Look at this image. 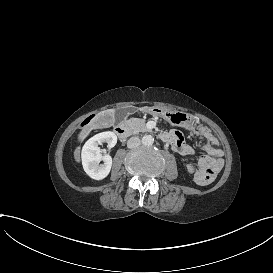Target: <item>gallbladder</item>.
I'll list each match as a JSON object with an SVG mask.
<instances>
[{
    "mask_svg": "<svg viewBox=\"0 0 273 273\" xmlns=\"http://www.w3.org/2000/svg\"><path fill=\"white\" fill-rule=\"evenodd\" d=\"M136 112H137L136 106L119 108L116 110V121L121 122L126 118L127 114L136 113Z\"/></svg>",
    "mask_w": 273,
    "mask_h": 273,
    "instance_id": "obj_1",
    "label": "gallbladder"
}]
</instances>
